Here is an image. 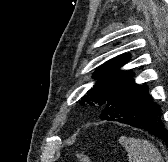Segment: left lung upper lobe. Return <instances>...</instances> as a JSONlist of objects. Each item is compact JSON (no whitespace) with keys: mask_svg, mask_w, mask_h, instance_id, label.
I'll list each match as a JSON object with an SVG mask.
<instances>
[{"mask_svg":"<svg viewBox=\"0 0 168 162\" xmlns=\"http://www.w3.org/2000/svg\"><path fill=\"white\" fill-rule=\"evenodd\" d=\"M129 59V54H123L107 61L98 68L93 77L99 80L94 88L90 89L87 95L82 98L81 105H85V103L91 106L97 105L104 110L109 96L134 76L133 72L119 70Z\"/></svg>","mask_w":168,"mask_h":162,"instance_id":"left-lung-upper-lobe-1","label":"left lung upper lobe"}]
</instances>
